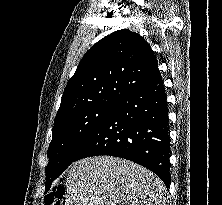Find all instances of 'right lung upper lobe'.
I'll use <instances>...</instances> for the list:
<instances>
[{"label":"right lung upper lobe","instance_id":"1","mask_svg":"<svg viewBox=\"0 0 222 205\" xmlns=\"http://www.w3.org/2000/svg\"><path fill=\"white\" fill-rule=\"evenodd\" d=\"M158 76L156 57L145 39L118 30L86 52L67 83L54 122L99 103L120 101Z\"/></svg>","mask_w":222,"mask_h":205}]
</instances>
